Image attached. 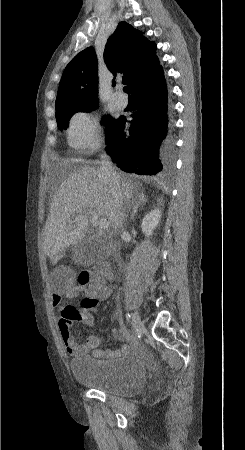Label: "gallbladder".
<instances>
[{
	"label": "gallbladder",
	"instance_id": "bac80fb5",
	"mask_svg": "<svg viewBox=\"0 0 245 450\" xmlns=\"http://www.w3.org/2000/svg\"><path fill=\"white\" fill-rule=\"evenodd\" d=\"M109 251L105 244L95 240L80 243L73 253V260L81 265L90 264L105 259Z\"/></svg>",
	"mask_w": 245,
	"mask_h": 450
}]
</instances>
